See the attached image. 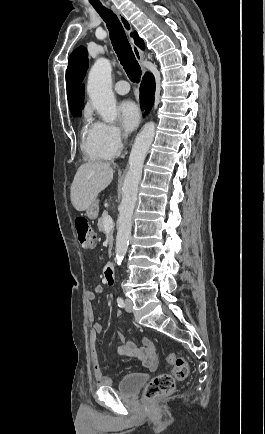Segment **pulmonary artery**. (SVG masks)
I'll return each mask as SVG.
<instances>
[{"mask_svg":"<svg viewBox=\"0 0 265 434\" xmlns=\"http://www.w3.org/2000/svg\"><path fill=\"white\" fill-rule=\"evenodd\" d=\"M130 87H131L130 81H117V84L114 86V89L117 93L124 95L129 92Z\"/></svg>","mask_w":265,"mask_h":434,"instance_id":"pulmonary-artery-1","label":"pulmonary artery"}]
</instances>
